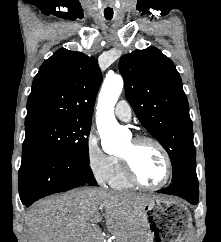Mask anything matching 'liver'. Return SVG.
Wrapping results in <instances>:
<instances>
[{
    "label": "liver",
    "mask_w": 221,
    "mask_h": 242,
    "mask_svg": "<svg viewBox=\"0 0 221 242\" xmlns=\"http://www.w3.org/2000/svg\"><path fill=\"white\" fill-rule=\"evenodd\" d=\"M158 198L104 189H75L37 202L25 217L30 242H104L105 219L116 242H146L142 209Z\"/></svg>",
    "instance_id": "6515ba94"
}]
</instances>
